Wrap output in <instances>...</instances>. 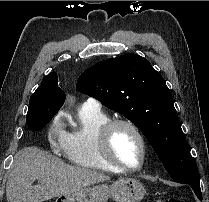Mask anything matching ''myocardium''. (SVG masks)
I'll list each match as a JSON object with an SVG mask.
<instances>
[{"mask_svg": "<svg viewBox=\"0 0 209 202\" xmlns=\"http://www.w3.org/2000/svg\"><path fill=\"white\" fill-rule=\"evenodd\" d=\"M118 126L128 127L135 133V135L139 139L142 155L140 163L135 167L123 164L122 162L118 161L112 154L110 145L111 135L113 130ZM97 145L100 154L107 162V164L119 171L124 172H136L142 169L148 155V145L143 132L134 122L125 118H113L110 119L106 124H104L98 134Z\"/></svg>", "mask_w": 209, "mask_h": 202, "instance_id": "obj_1", "label": "myocardium"}]
</instances>
